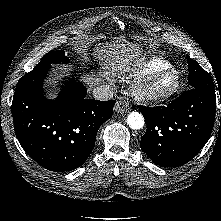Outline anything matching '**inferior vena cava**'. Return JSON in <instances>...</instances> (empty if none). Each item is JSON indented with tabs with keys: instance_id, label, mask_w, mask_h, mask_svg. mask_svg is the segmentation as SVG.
<instances>
[{
	"instance_id": "1",
	"label": "inferior vena cava",
	"mask_w": 221,
	"mask_h": 221,
	"mask_svg": "<svg viewBox=\"0 0 221 221\" xmlns=\"http://www.w3.org/2000/svg\"><path fill=\"white\" fill-rule=\"evenodd\" d=\"M114 89L111 85L101 83L96 88L93 89V96L97 100H110L113 98Z\"/></svg>"
}]
</instances>
